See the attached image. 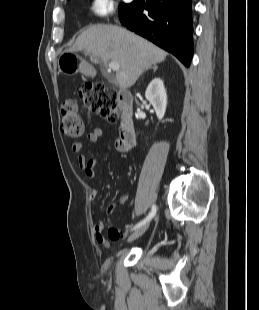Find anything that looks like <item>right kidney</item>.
I'll list each match as a JSON object with an SVG mask.
<instances>
[{
	"label": "right kidney",
	"instance_id": "obj_1",
	"mask_svg": "<svg viewBox=\"0 0 259 310\" xmlns=\"http://www.w3.org/2000/svg\"><path fill=\"white\" fill-rule=\"evenodd\" d=\"M146 99L152 104L159 120L164 117L167 105V94L160 78L153 79L145 92Z\"/></svg>",
	"mask_w": 259,
	"mask_h": 310
}]
</instances>
